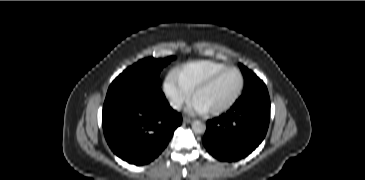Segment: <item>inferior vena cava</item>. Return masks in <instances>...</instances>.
Returning <instances> with one entry per match:
<instances>
[{"label":"inferior vena cava","instance_id":"inferior-vena-cava-1","mask_svg":"<svg viewBox=\"0 0 365 180\" xmlns=\"http://www.w3.org/2000/svg\"><path fill=\"white\" fill-rule=\"evenodd\" d=\"M183 104V98L176 97L170 100V105L173 109L180 110Z\"/></svg>","mask_w":365,"mask_h":180}]
</instances>
